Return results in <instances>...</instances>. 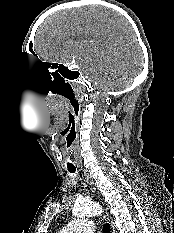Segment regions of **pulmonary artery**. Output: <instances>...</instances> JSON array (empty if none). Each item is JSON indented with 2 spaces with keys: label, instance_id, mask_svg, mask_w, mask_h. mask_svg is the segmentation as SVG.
<instances>
[{
  "label": "pulmonary artery",
  "instance_id": "1",
  "mask_svg": "<svg viewBox=\"0 0 174 233\" xmlns=\"http://www.w3.org/2000/svg\"><path fill=\"white\" fill-rule=\"evenodd\" d=\"M94 222L88 219H78L70 222L59 233H93Z\"/></svg>",
  "mask_w": 174,
  "mask_h": 233
}]
</instances>
